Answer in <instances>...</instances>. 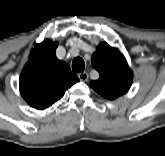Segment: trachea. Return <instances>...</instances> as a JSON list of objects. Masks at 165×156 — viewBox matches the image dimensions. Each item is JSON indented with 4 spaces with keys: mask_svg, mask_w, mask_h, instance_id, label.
Returning a JSON list of instances; mask_svg holds the SVG:
<instances>
[{
    "mask_svg": "<svg viewBox=\"0 0 165 156\" xmlns=\"http://www.w3.org/2000/svg\"><path fill=\"white\" fill-rule=\"evenodd\" d=\"M85 69V62L81 57H76L72 62L73 72H83Z\"/></svg>",
    "mask_w": 165,
    "mask_h": 156,
    "instance_id": "1",
    "label": "trachea"
}]
</instances>
